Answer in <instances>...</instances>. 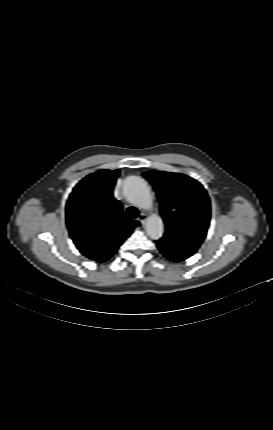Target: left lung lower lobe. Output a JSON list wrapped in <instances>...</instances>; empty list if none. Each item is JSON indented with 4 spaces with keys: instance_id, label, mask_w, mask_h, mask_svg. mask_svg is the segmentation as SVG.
Here are the masks:
<instances>
[{
    "instance_id": "1",
    "label": "left lung lower lobe",
    "mask_w": 273,
    "mask_h": 430,
    "mask_svg": "<svg viewBox=\"0 0 273 430\" xmlns=\"http://www.w3.org/2000/svg\"><path fill=\"white\" fill-rule=\"evenodd\" d=\"M157 246L160 247L158 244H157ZM167 259L170 261H173V262H179V261L185 260L186 257L185 256L170 255L167 257Z\"/></svg>"
}]
</instances>
